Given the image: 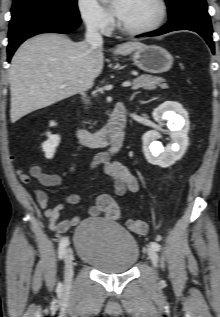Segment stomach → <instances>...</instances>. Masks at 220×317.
Here are the masks:
<instances>
[{
  "label": "stomach",
  "instance_id": "obj_1",
  "mask_svg": "<svg viewBox=\"0 0 220 317\" xmlns=\"http://www.w3.org/2000/svg\"><path fill=\"white\" fill-rule=\"evenodd\" d=\"M132 60L139 69L149 73L166 72L173 64L172 55L157 45H144L137 49L132 55Z\"/></svg>",
  "mask_w": 220,
  "mask_h": 317
}]
</instances>
